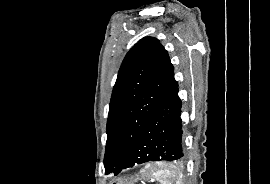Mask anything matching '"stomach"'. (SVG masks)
<instances>
[{"label":"stomach","mask_w":270,"mask_h":184,"mask_svg":"<svg viewBox=\"0 0 270 184\" xmlns=\"http://www.w3.org/2000/svg\"><path fill=\"white\" fill-rule=\"evenodd\" d=\"M138 178H122L115 180L112 184H135Z\"/></svg>","instance_id":"obj_1"}]
</instances>
